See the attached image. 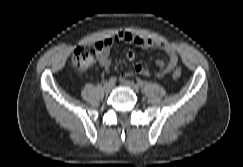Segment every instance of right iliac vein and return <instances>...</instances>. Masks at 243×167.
<instances>
[{"instance_id": "right-iliac-vein-1", "label": "right iliac vein", "mask_w": 243, "mask_h": 167, "mask_svg": "<svg viewBox=\"0 0 243 167\" xmlns=\"http://www.w3.org/2000/svg\"><path fill=\"white\" fill-rule=\"evenodd\" d=\"M105 92H110L113 89V84L110 82H106L103 86Z\"/></svg>"}]
</instances>
